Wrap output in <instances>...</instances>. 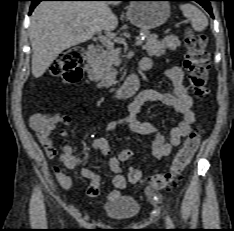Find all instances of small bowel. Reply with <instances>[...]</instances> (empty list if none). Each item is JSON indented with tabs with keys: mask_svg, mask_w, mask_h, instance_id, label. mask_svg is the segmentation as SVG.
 Returning <instances> with one entry per match:
<instances>
[{
	"mask_svg": "<svg viewBox=\"0 0 234 231\" xmlns=\"http://www.w3.org/2000/svg\"><path fill=\"white\" fill-rule=\"evenodd\" d=\"M141 64H150L152 67V62L149 59H143ZM165 74L172 84V93H164L152 89L140 92L128 105V114L109 122L106 126L105 134L93 140V148L95 150L103 155H111L110 132L123 124L127 125L135 133L152 136L151 153L156 159L170 155L180 145L182 139L191 132L192 126L196 121V116L192 110L193 100L183 83L184 74L179 66L168 68ZM148 102L162 103L173 107L181 114L182 119L178 125L171 129L168 141H166L164 135L154 124L141 121L137 118L142 106ZM61 121L62 117L59 115L50 117L44 113H35L31 117V127L39 136L46 155L49 158H54L57 155V150L50 134L55 125ZM59 160L62 167H54L55 177L62 188L70 189L73 186V181L67 175V171L74 169L77 166L78 160L72 154V148L68 143L60 145ZM109 165L114 174V189L107 195V200L111 202L119 197L120 192L126 188L127 182L122 175V166L118 157L112 156ZM80 175L88 181L86 193L91 197H97L100 194V176L85 167L80 169Z\"/></svg>",
	"mask_w": 234,
	"mask_h": 231,
	"instance_id": "c3829d8e",
	"label": "small bowel"
}]
</instances>
